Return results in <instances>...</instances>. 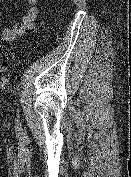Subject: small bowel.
Wrapping results in <instances>:
<instances>
[{
	"mask_svg": "<svg viewBox=\"0 0 131 177\" xmlns=\"http://www.w3.org/2000/svg\"><path fill=\"white\" fill-rule=\"evenodd\" d=\"M28 4L27 11L22 14L19 21L12 25L0 29L1 41H12L20 38L27 30H30L34 26V22L38 17V8L36 6L37 0H26Z\"/></svg>",
	"mask_w": 131,
	"mask_h": 177,
	"instance_id": "c3829d8e",
	"label": "small bowel"
}]
</instances>
